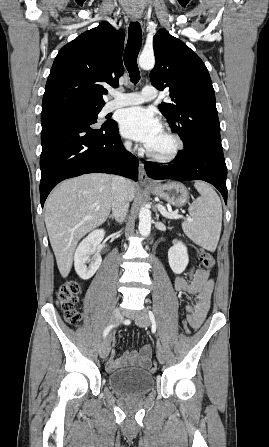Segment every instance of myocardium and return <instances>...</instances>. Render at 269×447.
<instances>
[{"label": "myocardium", "mask_w": 269, "mask_h": 447, "mask_svg": "<svg viewBox=\"0 0 269 447\" xmlns=\"http://www.w3.org/2000/svg\"><path fill=\"white\" fill-rule=\"evenodd\" d=\"M175 141V147L173 150L163 156H156L153 155L148 151V149L145 147V155L153 162L160 163V164H168L174 162L181 154V152L184 149L185 143L183 138L179 133H177L175 130H173L169 126H165L163 128Z\"/></svg>", "instance_id": "1"}]
</instances>
